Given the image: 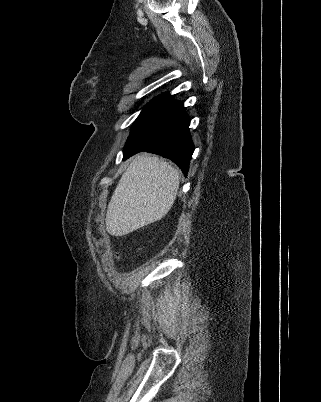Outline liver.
Instances as JSON below:
<instances>
[{
	"label": "liver",
	"instance_id": "6515ba94",
	"mask_svg": "<svg viewBox=\"0 0 321 402\" xmlns=\"http://www.w3.org/2000/svg\"><path fill=\"white\" fill-rule=\"evenodd\" d=\"M179 189V172L157 156L138 155L120 178L106 212V231L124 236L163 218Z\"/></svg>",
	"mask_w": 321,
	"mask_h": 402
}]
</instances>
